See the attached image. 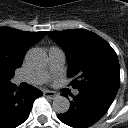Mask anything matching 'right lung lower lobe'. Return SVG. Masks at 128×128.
Instances as JSON below:
<instances>
[{
	"label": "right lung lower lobe",
	"instance_id": "obj_1",
	"mask_svg": "<svg viewBox=\"0 0 128 128\" xmlns=\"http://www.w3.org/2000/svg\"><path fill=\"white\" fill-rule=\"evenodd\" d=\"M9 82L0 86V128H15L29 116L33 102L43 95L37 88L19 89Z\"/></svg>",
	"mask_w": 128,
	"mask_h": 128
}]
</instances>
